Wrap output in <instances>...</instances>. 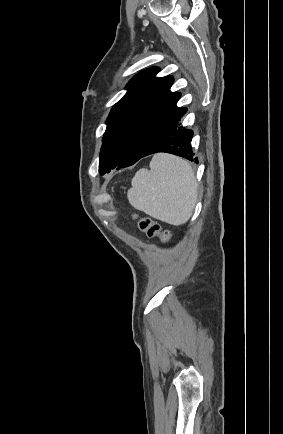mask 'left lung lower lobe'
Masks as SVG:
<instances>
[{
    "mask_svg": "<svg viewBox=\"0 0 283 434\" xmlns=\"http://www.w3.org/2000/svg\"><path fill=\"white\" fill-rule=\"evenodd\" d=\"M186 111L187 110L185 108L177 109V111L159 130L155 138L142 154L141 158L158 152H166L181 156L190 161H194L195 163L198 162L197 158L193 157L192 148L190 146V142L193 137V131L179 126V121ZM127 166L130 165H127V163H120L116 167Z\"/></svg>",
    "mask_w": 283,
    "mask_h": 434,
    "instance_id": "left-lung-lower-lobe-1",
    "label": "left lung lower lobe"
}]
</instances>
